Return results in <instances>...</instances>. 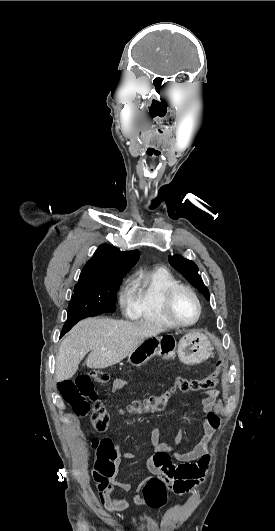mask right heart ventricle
<instances>
[{"label":"right heart ventricle","instance_id":"1","mask_svg":"<svg viewBox=\"0 0 275 531\" xmlns=\"http://www.w3.org/2000/svg\"><path fill=\"white\" fill-rule=\"evenodd\" d=\"M177 283L172 274L155 271L140 276L136 285L137 304L132 317L142 323L158 327L176 328L165 315L162 299L166 289Z\"/></svg>","mask_w":275,"mask_h":531}]
</instances>
